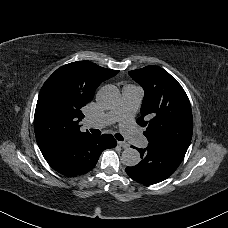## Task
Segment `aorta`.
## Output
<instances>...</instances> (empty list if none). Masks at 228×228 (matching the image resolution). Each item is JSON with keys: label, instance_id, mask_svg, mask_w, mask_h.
Segmentation results:
<instances>
[{"label": "aorta", "instance_id": "aorta-1", "mask_svg": "<svg viewBox=\"0 0 228 228\" xmlns=\"http://www.w3.org/2000/svg\"><path fill=\"white\" fill-rule=\"evenodd\" d=\"M120 100V92L113 85L103 86L97 93L96 101L104 109H113ZM140 153L134 148H126L121 155V162L126 166H135L140 162Z\"/></svg>", "mask_w": 228, "mask_h": 228}]
</instances>
